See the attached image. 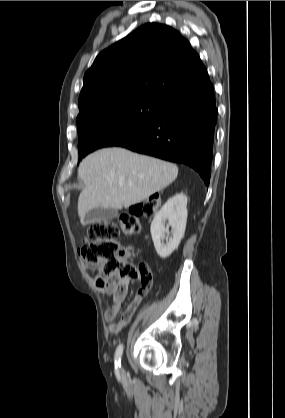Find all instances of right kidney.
Here are the masks:
<instances>
[{"label": "right kidney", "mask_w": 285, "mask_h": 418, "mask_svg": "<svg viewBox=\"0 0 285 418\" xmlns=\"http://www.w3.org/2000/svg\"><path fill=\"white\" fill-rule=\"evenodd\" d=\"M166 221L172 228L170 237H168V228L165 227ZM186 222L187 197L183 193L170 198L156 213L150 231L156 252L161 258L170 256L178 248L185 233ZM166 233V243H163Z\"/></svg>", "instance_id": "1"}]
</instances>
